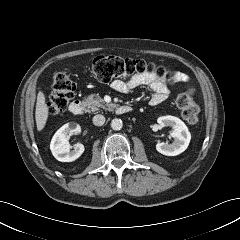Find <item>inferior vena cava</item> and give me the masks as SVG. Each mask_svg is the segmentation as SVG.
<instances>
[{"label": "inferior vena cava", "instance_id": "602c4592", "mask_svg": "<svg viewBox=\"0 0 240 240\" xmlns=\"http://www.w3.org/2000/svg\"><path fill=\"white\" fill-rule=\"evenodd\" d=\"M105 123V117L103 115H95L93 117V124L96 126H102Z\"/></svg>", "mask_w": 240, "mask_h": 240}]
</instances>
